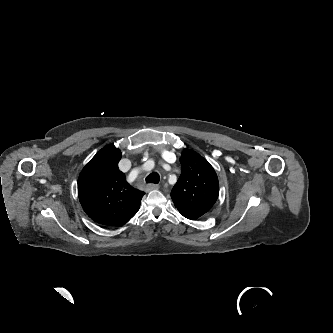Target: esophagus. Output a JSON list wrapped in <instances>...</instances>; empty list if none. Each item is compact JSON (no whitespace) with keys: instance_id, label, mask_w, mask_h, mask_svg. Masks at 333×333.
Returning <instances> with one entry per match:
<instances>
[{"instance_id":"obj_1","label":"esophagus","mask_w":333,"mask_h":333,"mask_svg":"<svg viewBox=\"0 0 333 333\" xmlns=\"http://www.w3.org/2000/svg\"><path fill=\"white\" fill-rule=\"evenodd\" d=\"M155 189H159L158 184H148L147 187H146L147 191H151V190H155Z\"/></svg>"}]
</instances>
